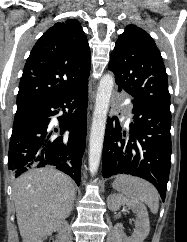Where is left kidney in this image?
<instances>
[{"label":"left kidney","instance_id":"5707ae66","mask_svg":"<svg viewBox=\"0 0 187 242\" xmlns=\"http://www.w3.org/2000/svg\"><path fill=\"white\" fill-rule=\"evenodd\" d=\"M111 211H117L121 205H126L136 214L135 230L130 237H126L121 224L115 225L117 242H143L150 231L148 212L145 205L139 201L129 200L119 194H112L107 199Z\"/></svg>","mask_w":187,"mask_h":242}]
</instances>
